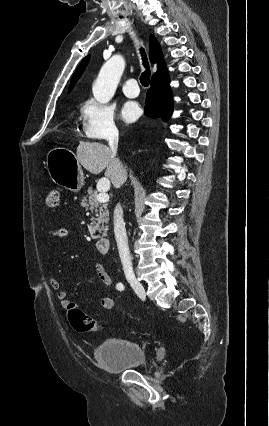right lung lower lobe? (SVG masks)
Returning a JSON list of instances; mask_svg holds the SVG:
<instances>
[{
    "label": "right lung lower lobe",
    "mask_w": 269,
    "mask_h": 426,
    "mask_svg": "<svg viewBox=\"0 0 269 426\" xmlns=\"http://www.w3.org/2000/svg\"><path fill=\"white\" fill-rule=\"evenodd\" d=\"M173 111V98L167 71L151 79V87L147 92L145 115L151 118L161 117L168 121Z\"/></svg>",
    "instance_id": "obj_1"
}]
</instances>
